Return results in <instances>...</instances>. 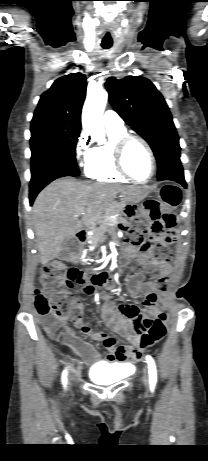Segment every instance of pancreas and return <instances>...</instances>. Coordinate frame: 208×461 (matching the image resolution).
Instances as JSON below:
<instances>
[{
    "label": "pancreas",
    "instance_id": "obj_1",
    "mask_svg": "<svg viewBox=\"0 0 208 461\" xmlns=\"http://www.w3.org/2000/svg\"><path fill=\"white\" fill-rule=\"evenodd\" d=\"M125 208L124 203L112 204L98 220L99 227L93 229L91 239L95 242H101L105 238V233H115V228L121 220L122 212ZM113 216V218H112Z\"/></svg>",
    "mask_w": 208,
    "mask_h": 461
}]
</instances>
